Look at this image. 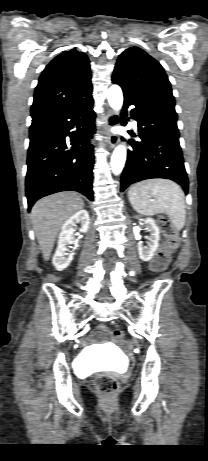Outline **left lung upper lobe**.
I'll use <instances>...</instances> for the list:
<instances>
[{
    "label": "left lung upper lobe",
    "mask_w": 208,
    "mask_h": 461,
    "mask_svg": "<svg viewBox=\"0 0 208 461\" xmlns=\"http://www.w3.org/2000/svg\"><path fill=\"white\" fill-rule=\"evenodd\" d=\"M124 95L139 102L175 107L168 77L161 64L138 47H129L119 55L112 75Z\"/></svg>",
    "instance_id": "obj_1"
}]
</instances>
